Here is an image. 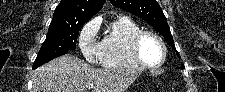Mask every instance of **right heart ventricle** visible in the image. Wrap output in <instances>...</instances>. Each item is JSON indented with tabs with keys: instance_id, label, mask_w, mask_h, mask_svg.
I'll return each instance as SVG.
<instances>
[{
	"instance_id": "e07e8e85",
	"label": "right heart ventricle",
	"mask_w": 225,
	"mask_h": 92,
	"mask_svg": "<svg viewBox=\"0 0 225 92\" xmlns=\"http://www.w3.org/2000/svg\"><path fill=\"white\" fill-rule=\"evenodd\" d=\"M140 26L130 17L119 16L109 26L101 41V63L106 68H130L140 66L130 52V40L140 31Z\"/></svg>"
}]
</instances>
